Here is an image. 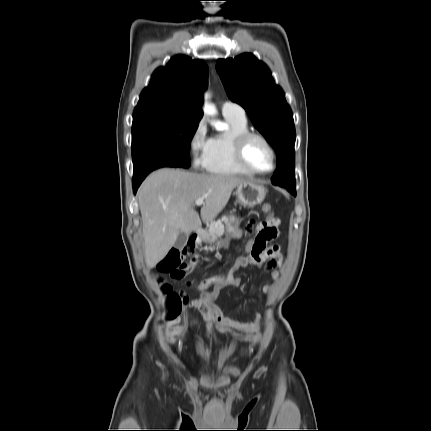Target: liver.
<instances>
[{"label":"liver","instance_id":"1","mask_svg":"<svg viewBox=\"0 0 431 431\" xmlns=\"http://www.w3.org/2000/svg\"><path fill=\"white\" fill-rule=\"evenodd\" d=\"M246 181L233 175L169 168L151 173L137 194L147 267L153 268L165 258L180 232L189 234L200 228L201 220L193 209L198 198H204L200 215L208 223L226 206L233 189Z\"/></svg>","mask_w":431,"mask_h":431}]
</instances>
